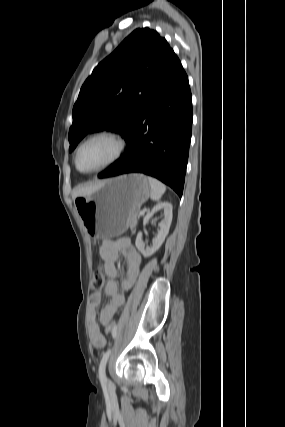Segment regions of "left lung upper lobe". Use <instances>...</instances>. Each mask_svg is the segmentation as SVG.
Wrapping results in <instances>:
<instances>
[{
	"label": "left lung upper lobe",
	"instance_id": "obj_1",
	"mask_svg": "<svg viewBox=\"0 0 285 427\" xmlns=\"http://www.w3.org/2000/svg\"><path fill=\"white\" fill-rule=\"evenodd\" d=\"M172 51L156 31L138 28L100 62L73 107L69 151L88 133L104 129L127 141Z\"/></svg>",
	"mask_w": 285,
	"mask_h": 427
}]
</instances>
